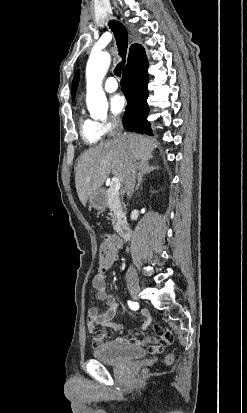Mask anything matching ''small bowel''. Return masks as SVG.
Instances as JSON below:
<instances>
[{
	"instance_id": "obj_1",
	"label": "small bowel",
	"mask_w": 247,
	"mask_h": 413,
	"mask_svg": "<svg viewBox=\"0 0 247 413\" xmlns=\"http://www.w3.org/2000/svg\"><path fill=\"white\" fill-rule=\"evenodd\" d=\"M99 270L100 271L92 280V286L96 290L98 300L105 303L106 309L103 312H100L98 307L91 306L87 311V329L92 334L91 344L94 348L102 347L103 349H112L115 342V347L117 349L138 348L139 342L137 341V336L135 334H129L127 336V340L118 337L113 342L112 340H105V332L96 331L98 327L111 329L116 334L122 331L120 325L113 323L114 316L117 311L122 309V306L116 300L114 295L107 292L106 270H101L100 267ZM140 313L143 322L141 328L145 329L150 324L152 315L147 309H142ZM150 329L155 331V335L151 337L152 341L143 342L142 346L150 347V354H155L156 349H159V352L163 353L164 349H168L170 347V343L174 341L175 331L173 329H168L167 331L161 329V324L159 322H152L150 324Z\"/></svg>"
}]
</instances>
